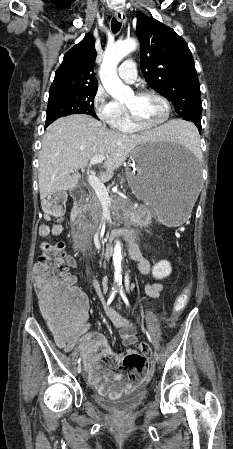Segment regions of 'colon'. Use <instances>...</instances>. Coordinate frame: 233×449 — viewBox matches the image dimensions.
<instances>
[{
	"label": "colon",
	"instance_id": "1",
	"mask_svg": "<svg viewBox=\"0 0 233 449\" xmlns=\"http://www.w3.org/2000/svg\"><path fill=\"white\" fill-rule=\"evenodd\" d=\"M66 195L56 194L44 203V211L49 218H60L63 215ZM53 233V226L43 229L45 237ZM44 253L38 258L34 268V282L39 293L40 307L45 318L50 322L56 334L64 329L67 332H84L86 327V298L74 284L62 259L64 253L60 244L43 243ZM191 295V287L187 285L175 299L171 318L177 320L187 307ZM137 351L126 354L120 369L127 375H138L139 369H146L150 348L146 343H139Z\"/></svg>",
	"mask_w": 233,
	"mask_h": 449
}]
</instances>
